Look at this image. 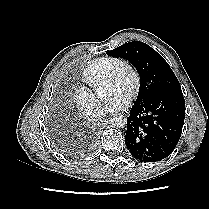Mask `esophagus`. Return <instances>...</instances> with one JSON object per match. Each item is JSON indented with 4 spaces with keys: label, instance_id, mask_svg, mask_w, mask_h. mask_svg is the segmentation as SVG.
Here are the masks:
<instances>
[{
    "label": "esophagus",
    "instance_id": "1",
    "mask_svg": "<svg viewBox=\"0 0 209 209\" xmlns=\"http://www.w3.org/2000/svg\"><path fill=\"white\" fill-rule=\"evenodd\" d=\"M106 122H108V118L104 119V120L102 121V124H105Z\"/></svg>",
    "mask_w": 209,
    "mask_h": 209
}]
</instances>
